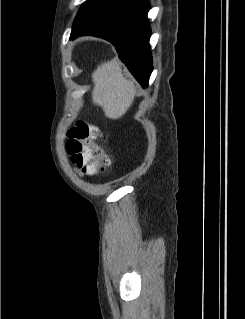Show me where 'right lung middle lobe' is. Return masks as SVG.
<instances>
[{
  "label": "right lung middle lobe",
  "instance_id": "1",
  "mask_svg": "<svg viewBox=\"0 0 245 319\" xmlns=\"http://www.w3.org/2000/svg\"><path fill=\"white\" fill-rule=\"evenodd\" d=\"M130 0H87L78 13L84 15L82 24L92 25L125 6Z\"/></svg>",
  "mask_w": 245,
  "mask_h": 319
}]
</instances>
